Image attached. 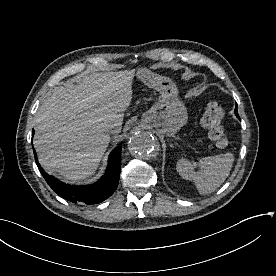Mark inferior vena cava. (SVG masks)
I'll use <instances>...</instances> for the list:
<instances>
[{
	"label": "inferior vena cava",
	"mask_w": 276,
	"mask_h": 276,
	"mask_svg": "<svg viewBox=\"0 0 276 276\" xmlns=\"http://www.w3.org/2000/svg\"><path fill=\"white\" fill-rule=\"evenodd\" d=\"M105 131L106 132H111V133H117L119 131V125L114 123V124H105Z\"/></svg>",
	"instance_id": "obj_1"
}]
</instances>
